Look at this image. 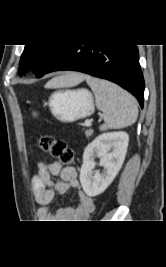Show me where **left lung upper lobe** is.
<instances>
[{"label": "left lung upper lobe", "mask_w": 166, "mask_h": 267, "mask_svg": "<svg viewBox=\"0 0 166 267\" xmlns=\"http://www.w3.org/2000/svg\"><path fill=\"white\" fill-rule=\"evenodd\" d=\"M64 45H25L19 64V73L33 70L42 77Z\"/></svg>", "instance_id": "left-lung-upper-lobe-1"}]
</instances>
